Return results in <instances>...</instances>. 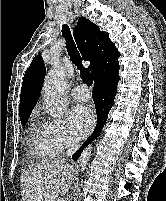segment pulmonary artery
Returning a JSON list of instances; mask_svg holds the SVG:
<instances>
[{
	"label": "pulmonary artery",
	"instance_id": "e3ab8cb5",
	"mask_svg": "<svg viewBox=\"0 0 166 201\" xmlns=\"http://www.w3.org/2000/svg\"><path fill=\"white\" fill-rule=\"evenodd\" d=\"M72 98L77 102H85L90 99L91 94L88 88L84 85L75 87L71 93Z\"/></svg>",
	"mask_w": 166,
	"mask_h": 201
}]
</instances>
